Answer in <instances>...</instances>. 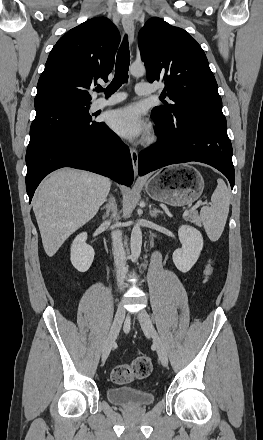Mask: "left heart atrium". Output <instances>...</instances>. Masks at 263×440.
I'll return each instance as SVG.
<instances>
[{
  "instance_id": "left-heart-atrium-1",
  "label": "left heart atrium",
  "mask_w": 263,
  "mask_h": 440,
  "mask_svg": "<svg viewBox=\"0 0 263 440\" xmlns=\"http://www.w3.org/2000/svg\"><path fill=\"white\" fill-rule=\"evenodd\" d=\"M108 124L119 136L134 140L147 131V124L138 106L130 105L110 113Z\"/></svg>"
}]
</instances>
